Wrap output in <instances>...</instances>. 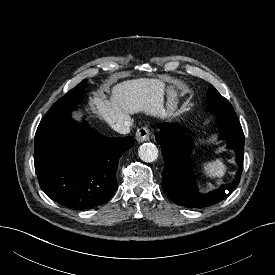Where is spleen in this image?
Instances as JSON below:
<instances>
[{"label": "spleen", "mask_w": 275, "mask_h": 275, "mask_svg": "<svg viewBox=\"0 0 275 275\" xmlns=\"http://www.w3.org/2000/svg\"><path fill=\"white\" fill-rule=\"evenodd\" d=\"M226 165L222 159L211 160L202 163V172L209 178H221L226 173Z\"/></svg>", "instance_id": "3e777b00"}]
</instances>
